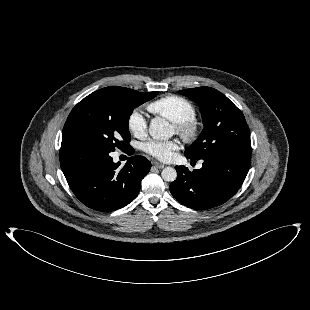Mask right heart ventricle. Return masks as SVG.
Returning a JSON list of instances; mask_svg holds the SVG:
<instances>
[{
	"instance_id": "e07e8e85",
	"label": "right heart ventricle",
	"mask_w": 310,
	"mask_h": 310,
	"mask_svg": "<svg viewBox=\"0 0 310 310\" xmlns=\"http://www.w3.org/2000/svg\"><path fill=\"white\" fill-rule=\"evenodd\" d=\"M148 110L168 120L180 122L195 118L196 108L191 101L178 95H166L148 105Z\"/></svg>"
}]
</instances>
